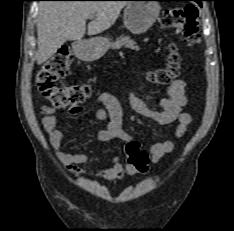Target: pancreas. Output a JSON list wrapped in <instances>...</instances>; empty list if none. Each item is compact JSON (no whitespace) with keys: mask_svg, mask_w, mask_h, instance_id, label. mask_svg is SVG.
Instances as JSON below:
<instances>
[{"mask_svg":"<svg viewBox=\"0 0 234 231\" xmlns=\"http://www.w3.org/2000/svg\"><path fill=\"white\" fill-rule=\"evenodd\" d=\"M123 46L139 50V47L136 45V43L128 36L122 35L121 37L117 38V40L112 44L113 49H120Z\"/></svg>","mask_w":234,"mask_h":231,"instance_id":"1","label":"pancreas"}]
</instances>
